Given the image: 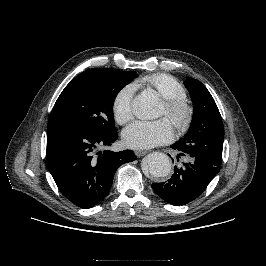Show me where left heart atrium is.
<instances>
[{
	"label": "left heart atrium",
	"mask_w": 266,
	"mask_h": 266,
	"mask_svg": "<svg viewBox=\"0 0 266 266\" xmlns=\"http://www.w3.org/2000/svg\"><path fill=\"white\" fill-rule=\"evenodd\" d=\"M122 136L128 147L148 149L171 141L174 132L167 119L157 121L138 120L125 128Z\"/></svg>",
	"instance_id": "obj_1"
}]
</instances>
